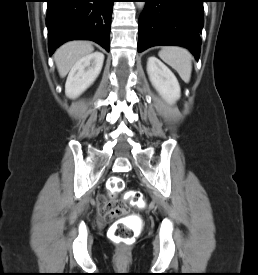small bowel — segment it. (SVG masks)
<instances>
[{"mask_svg": "<svg viewBox=\"0 0 258 275\" xmlns=\"http://www.w3.org/2000/svg\"><path fill=\"white\" fill-rule=\"evenodd\" d=\"M110 205H112V202H108L105 197H101L98 203L99 211L101 212V214Z\"/></svg>", "mask_w": 258, "mask_h": 275, "instance_id": "obj_1", "label": "small bowel"}]
</instances>
